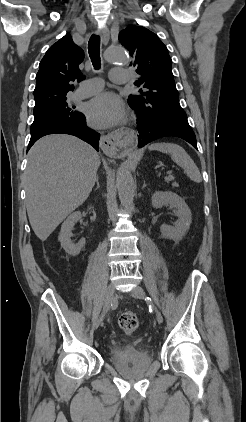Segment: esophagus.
I'll use <instances>...</instances> for the list:
<instances>
[{
  "mask_svg": "<svg viewBox=\"0 0 246 422\" xmlns=\"http://www.w3.org/2000/svg\"><path fill=\"white\" fill-rule=\"evenodd\" d=\"M96 34L101 37L102 43L106 46L109 42V31L106 28L97 29ZM122 142L113 134L101 136L100 146L106 155H116Z\"/></svg>",
  "mask_w": 246,
  "mask_h": 422,
  "instance_id": "34e87169",
  "label": "esophagus"
}]
</instances>
